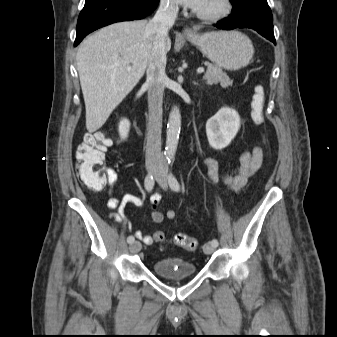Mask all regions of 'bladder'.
Returning <instances> with one entry per match:
<instances>
[{"instance_id":"bladder-1","label":"bladder","mask_w":337,"mask_h":337,"mask_svg":"<svg viewBox=\"0 0 337 337\" xmlns=\"http://www.w3.org/2000/svg\"><path fill=\"white\" fill-rule=\"evenodd\" d=\"M153 271L163 278L189 277L197 272V267L181 257H165L153 264Z\"/></svg>"}]
</instances>
